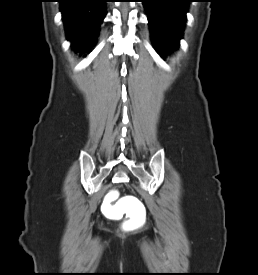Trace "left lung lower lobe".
<instances>
[{"label":"left lung lower lobe","instance_id":"1","mask_svg":"<svg viewBox=\"0 0 258 275\" xmlns=\"http://www.w3.org/2000/svg\"><path fill=\"white\" fill-rule=\"evenodd\" d=\"M152 39L164 51L177 48L182 38L190 0H142Z\"/></svg>","mask_w":258,"mask_h":275}]
</instances>
